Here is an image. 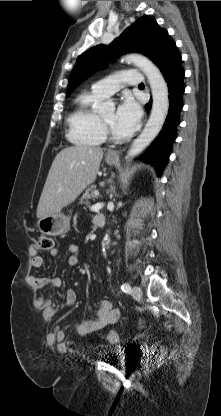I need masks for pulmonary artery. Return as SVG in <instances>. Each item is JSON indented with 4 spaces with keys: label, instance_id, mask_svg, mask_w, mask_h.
Listing matches in <instances>:
<instances>
[{
    "label": "pulmonary artery",
    "instance_id": "obj_1",
    "mask_svg": "<svg viewBox=\"0 0 221 416\" xmlns=\"http://www.w3.org/2000/svg\"><path fill=\"white\" fill-rule=\"evenodd\" d=\"M143 80V74L138 69L121 70L93 84L92 91L101 97H107L124 85H139Z\"/></svg>",
    "mask_w": 221,
    "mask_h": 416
}]
</instances>
